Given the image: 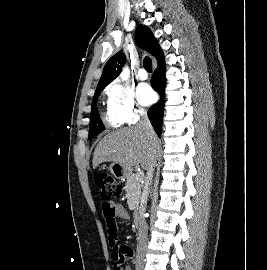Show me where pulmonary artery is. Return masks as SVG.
I'll return each mask as SVG.
<instances>
[{
	"mask_svg": "<svg viewBox=\"0 0 267 270\" xmlns=\"http://www.w3.org/2000/svg\"><path fill=\"white\" fill-rule=\"evenodd\" d=\"M137 76L140 80H146L148 78V74L144 68L139 69Z\"/></svg>",
	"mask_w": 267,
	"mask_h": 270,
	"instance_id": "1",
	"label": "pulmonary artery"
}]
</instances>
